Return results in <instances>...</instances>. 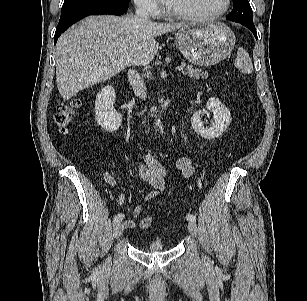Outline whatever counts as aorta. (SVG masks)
Segmentation results:
<instances>
[{
	"label": "aorta",
	"instance_id": "obj_1",
	"mask_svg": "<svg viewBox=\"0 0 307 301\" xmlns=\"http://www.w3.org/2000/svg\"><path fill=\"white\" fill-rule=\"evenodd\" d=\"M162 128V121L161 119H158L155 123V132L157 133V131H159V129Z\"/></svg>",
	"mask_w": 307,
	"mask_h": 301
}]
</instances>
